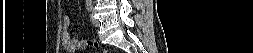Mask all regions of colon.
I'll list each match as a JSON object with an SVG mask.
<instances>
[{
	"instance_id": "obj_1",
	"label": "colon",
	"mask_w": 253,
	"mask_h": 53,
	"mask_svg": "<svg viewBox=\"0 0 253 53\" xmlns=\"http://www.w3.org/2000/svg\"><path fill=\"white\" fill-rule=\"evenodd\" d=\"M78 45L80 48H85V47H89V48H98L100 43L95 40V39H91V40H78Z\"/></svg>"
}]
</instances>
